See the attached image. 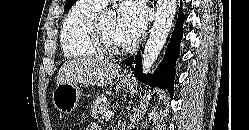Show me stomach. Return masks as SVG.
<instances>
[{"mask_svg":"<svg viewBox=\"0 0 249 130\" xmlns=\"http://www.w3.org/2000/svg\"><path fill=\"white\" fill-rule=\"evenodd\" d=\"M130 79L118 76L115 83L119 88L128 85ZM80 88L76 83H65L58 85L53 92V104L63 114L72 113L80 99Z\"/></svg>","mask_w":249,"mask_h":130,"instance_id":"stomach-1","label":"stomach"}]
</instances>
